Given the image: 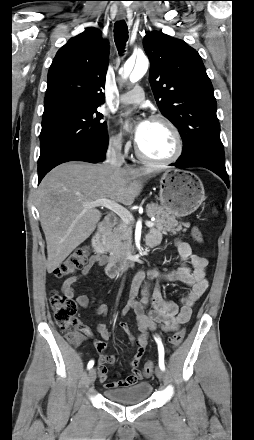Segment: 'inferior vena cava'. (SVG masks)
Masks as SVG:
<instances>
[{
    "label": "inferior vena cava",
    "instance_id": "1",
    "mask_svg": "<svg viewBox=\"0 0 254 440\" xmlns=\"http://www.w3.org/2000/svg\"><path fill=\"white\" fill-rule=\"evenodd\" d=\"M122 144L120 139H115L109 143L106 152V163L114 168H120L124 163V156L121 153Z\"/></svg>",
    "mask_w": 254,
    "mask_h": 440
}]
</instances>
